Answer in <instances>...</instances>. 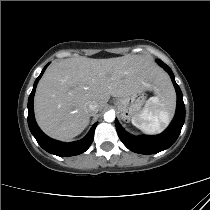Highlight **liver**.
Returning a JSON list of instances; mask_svg holds the SVG:
<instances>
[{
    "label": "liver",
    "instance_id": "6515ba94",
    "mask_svg": "<svg viewBox=\"0 0 210 210\" xmlns=\"http://www.w3.org/2000/svg\"><path fill=\"white\" fill-rule=\"evenodd\" d=\"M145 90L173 97L168 76L148 57L63 59L51 65L38 83L35 118L47 135L68 141L88 125L90 102L98 104L95 114L111 96L122 98Z\"/></svg>",
    "mask_w": 210,
    "mask_h": 210
}]
</instances>
